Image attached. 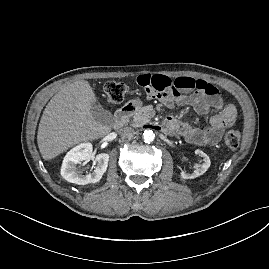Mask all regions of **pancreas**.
<instances>
[{"label": "pancreas", "instance_id": "obj_1", "mask_svg": "<svg viewBox=\"0 0 269 269\" xmlns=\"http://www.w3.org/2000/svg\"><path fill=\"white\" fill-rule=\"evenodd\" d=\"M154 116V111L152 108L148 106L141 107L130 119V125L133 127H140L147 122Z\"/></svg>", "mask_w": 269, "mask_h": 269}]
</instances>
